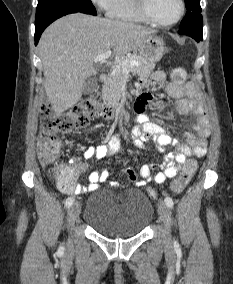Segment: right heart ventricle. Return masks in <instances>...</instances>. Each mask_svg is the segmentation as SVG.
I'll use <instances>...</instances> for the list:
<instances>
[{
  "instance_id": "e07e8e85",
  "label": "right heart ventricle",
  "mask_w": 233,
  "mask_h": 284,
  "mask_svg": "<svg viewBox=\"0 0 233 284\" xmlns=\"http://www.w3.org/2000/svg\"><path fill=\"white\" fill-rule=\"evenodd\" d=\"M108 17L133 23H148L137 7V0H111L107 8Z\"/></svg>"
}]
</instances>
